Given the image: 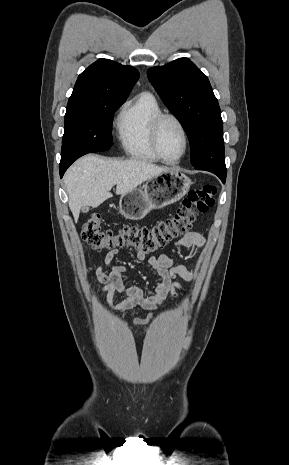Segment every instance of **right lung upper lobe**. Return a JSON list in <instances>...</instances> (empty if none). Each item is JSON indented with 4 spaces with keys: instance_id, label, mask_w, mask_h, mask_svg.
Segmentation results:
<instances>
[{
    "instance_id": "1",
    "label": "right lung upper lobe",
    "mask_w": 289,
    "mask_h": 465,
    "mask_svg": "<svg viewBox=\"0 0 289 465\" xmlns=\"http://www.w3.org/2000/svg\"><path fill=\"white\" fill-rule=\"evenodd\" d=\"M138 78L132 66L99 59L79 75L65 115L86 114L95 106L125 100Z\"/></svg>"
}]
</instances>
